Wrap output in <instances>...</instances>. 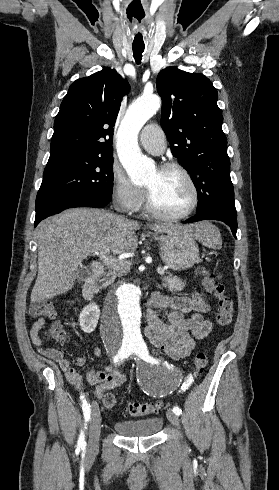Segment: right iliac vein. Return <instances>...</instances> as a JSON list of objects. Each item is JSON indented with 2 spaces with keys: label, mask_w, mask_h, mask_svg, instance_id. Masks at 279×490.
Listing matches in <instances>:
<instances>
[{
  "label": "right iliac vein",
  "mask_w": 279,
  "mask_h": 490,
  "mask_svg": "<svg viewBox=\"0 0 279 490\" xmlns=\"http://www.w3.org/2000/svg\"><path fill=\"white\" fill-rule=\"evenodd\" d=\"M101 432V415L95 401L91 405V418L89 425V440L87 445V457H93L98 452L99 435Z\"/></svg>",
  "instance_id": "63e3f726"
}]
</instances>
